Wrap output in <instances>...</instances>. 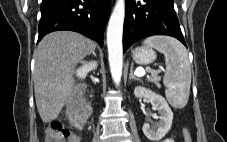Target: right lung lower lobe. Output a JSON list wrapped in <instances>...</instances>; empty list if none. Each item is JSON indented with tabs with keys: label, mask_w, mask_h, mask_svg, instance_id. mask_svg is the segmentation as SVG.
Segmentation results:
<instances>
[{
	"label": "right lung lower lobe",
	"mask_w": 227,
	"mask_h": 142,
	"mask_svg": "<svg viewBox=\"0 0 227 142\" xmlns=\"http://www.w3.org/2000/svg\"><path fill=\"white\" fill-rule=\"evenodd\" d=\"M110 0H42L38 41L46 34L68 30L79 32L103 46Z\"/></svg>",
	"instance_id": "right-lung-lower-lobe-1"
}]
</instances>
